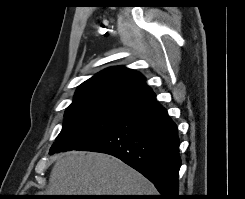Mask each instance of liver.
I'll use <instances>...</instances> for the list:
<instances>
[{"mask_svg": "<svg viewBox=\"0 0 245 199\" xmlns=\"http://www.w3.org/2000/svg\"><path fill=\"white\" fill-rule=\"evenodd\" d=\"M48 195H156L154 185L121 160L103 153L71 151L58 156Z\"/></svg>", "mask_w": 245, "mask_h": 199, "instance_id": "1", "label": "liver"}]
</instances>
